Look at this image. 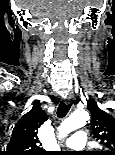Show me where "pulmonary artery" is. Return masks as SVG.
Returning <instances> with one entry per match:
<instances>
[{
  "instance_id": "obj_1",
  "label": "pulmonary artery",
  "mask_w": 115,
  "mask_h": 155,
  "mask_svg": "<svg viewBox=\"0 0 115 155\" xmlns=\"http://www.w3.org/2000/svg\"><path fill=\"white\" fill-rule=\"evenodd\" d=\"M87 143V135L84 131L79 130L74 132L69 138L65 141V146L74 149L79 150L85 147Z\"/></svg>"
}]
</instances>
